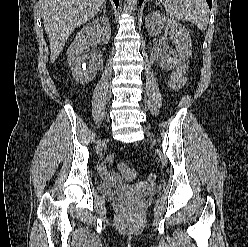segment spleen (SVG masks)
I'll list each match as a JSON object with an SVG mask.
<instances>
[{"label":"spleen","mask_w":248,"mask_h":247,"mask_svg":"<svg viewBox=\"0 0 248 247\" xmlns=\"http://www.w3.org/2000/svg\"><path fill=\"white\" fill-rule=\"evenodd\" d=\"M167 14L181 21L195 23L201 31L206 30L209 9L206 0H160Z\"/></svg>","instance_id":"spleen-1"}]
</instances>
